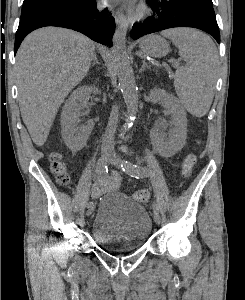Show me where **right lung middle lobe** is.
Here are the masks:
<instances>
[{
	"instance_id": "dd1d6c3e",
	"label": "right lung middle lobe",
	"mask_w": 245,
	"mask_h": 300,
	"mask_svg": "<svg viewBox=\"0 0 245 300\" xmlns=\"http://www.w3.org/2000/svg\"><path fill=\"white\" fill-rule=\"evenodd\" d=\"M90 0H27L23 2L20 22L66 8H80Z\"/></svg>"
}]
</instances>
